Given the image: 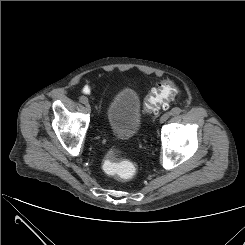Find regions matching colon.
Returning a JSON list of instances; mask_svg holds the SVG:
<instances>
[{
    "mask_svg": "<svg viewBox=\"0 0 245 245\" xmlns=\"http://www.w3.org/2000/svg\"><path fill=\"white\" fill-rule=\"evenodd\" d=\"M176 94L175 85L169 80H162L146 97L145 110L149 113L157 112L161 107L166 106L173 100ZM102 170L107 175L120 180H128L133 176L135 166L128 160H119L114 155H110L103 161Z\"/></svg>",
    "mask_w": 245,
    "mask_h": 245,
    "instance_id": "1",
    "label": "colon"
}]
</instances>
